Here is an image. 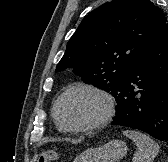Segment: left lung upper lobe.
<instances>
[{
    "label": "left lung upper lobe",
    "mask_w": 168,
    "mask_h": 162,
    "mask_svg": "<svg viewBox=\"0 0 168 162\" xmlns=\"http://www.w3.org/2000/svg\"><path fill=\"white\" fill-rule=\"evenodd\" d=\"M167 19L149 0H113L89 13L67 43L56 72L67 68L113 96Z\"/></svg>",
    "instance_id": "5c2ea615"
}]
</instances>
